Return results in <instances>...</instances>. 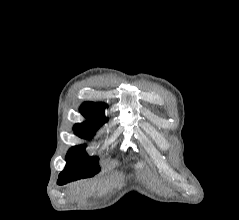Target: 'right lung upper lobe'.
<instances>
[{
  "mask_svg": "<svg viewBox=\"0 0 239 220\" xmlns=\"http://www.w3.org/2000/svg\"><path fill=\"white\" fill-rule=\"evenodd\" d=\"M106 107L107 105L103 103L84 102L80 107V111L87 118V121L78 123L74 127L97 130L102 124L107 122L104 114Z\"/></svg>",
  "mask_w": 239,
  "mask_h": 220,
  "instance_id": "cb5924a9",
  "label": "right lung upper lobe"
}]
</instances>
